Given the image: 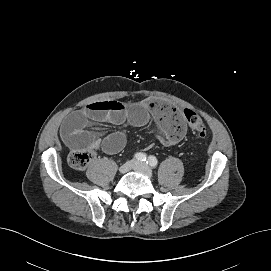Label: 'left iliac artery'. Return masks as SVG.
Returning a JSON list of instances; mask_svg holds the SVG:
<instances>
[{
	"label": "left iliac artery",
	"mask_w": 271,
	"mask_h": 271,
	"mask_svg": "<svg viewBox=\"0 0 271 271\" xmlns=\"http://www.w3.org/2000/svg\"><path fill=\"white\" fill-rule=\"evenodd\" d=\"M147 164H149L151 167H156L158 164V160L154 156H149L147 160Z\"/></svg>",
	"instance_id": "44dca946"
}]
</instances>
